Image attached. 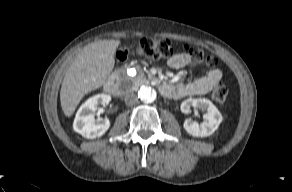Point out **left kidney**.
I'll use <instances>...</instances> for the list:
<instances>
[{
  "mask_svg": "<svg viewBox=\"0 0 292 192\" xmlns=\"http://www.w3.org/2000/svg\"><path fill=\"white\" fill-rule=\"evenodd\" d=\"M191 107L199 108L206 112L203 115L204 121L201 124L191 119H186L183 125L186 132L194 137H207L213 134L223 120L216 106L205 98H189L182 102L181 111L188 114Z\"/></svg>",
  "mask_w": 292,
  "mask_h": 192,
  "instance_id": "left-kidney-1",
  "label": "left kidney"
}]
</instances>
